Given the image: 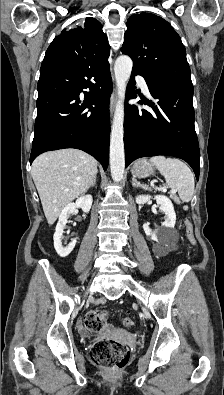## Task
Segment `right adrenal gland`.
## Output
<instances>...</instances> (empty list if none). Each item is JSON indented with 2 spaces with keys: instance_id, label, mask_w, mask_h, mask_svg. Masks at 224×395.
Masks as SVG:
<instances>
[{
  "instance_id": "1",
  "label": "right adrenal gland",
  "mask_w": 224,
  "mask_h": 395,
  "mask_svg": "<svg viewBox=\"0 0 224 395\" xmlns=\"http://www.w3.org/2000/svg\"><path fill=\"white\" fill-rule=\"evenodd\" d=\"M96 179H97V175H95V177L93 178V180L91 181L89 187H94L96 184Z\"/></svg>"
}]
</instances>
